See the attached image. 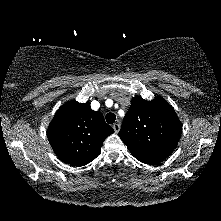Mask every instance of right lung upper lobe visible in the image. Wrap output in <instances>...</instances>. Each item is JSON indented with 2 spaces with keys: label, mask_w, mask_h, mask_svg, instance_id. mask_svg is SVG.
Returning a JSON list of instances; mask_svg holds the SVG:
<instances>
[{
  "label": "right lung upper lobe",
  "mask_w": 221,
  "mask_h": 221,
  "mask_svg": "<svg viewBox=\"0 0 221 221\" xmlns=\"http://www.w3.org/2000/svg\"><path fill=\"white\" fill-rule=\"evenodd\" d=\"M47 132L54 152L62 161L82 166L100 154L103 141L113 129L105 123L100 111L91 109L89 102L69 101L58 109Z\"/></svg>",
  "instance_id": "obj_1"
}]
</instances>
